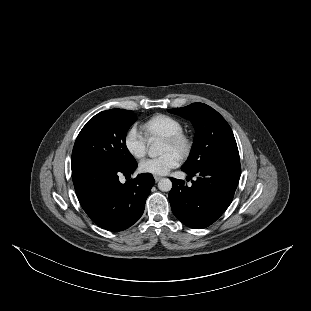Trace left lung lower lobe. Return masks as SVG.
<instances>
[{"mask_svg": "<svg viewBox=\"0 0 311 311\" xmlns=\"http://www.w3.org/2000/svg\"><path fill=\"white\" fill-rule=\"evenodd\" d=\"M183 171L191 177L199 176L190 187L182 180L170 178L173 184L169 193L171 209L186 226L205 228L232 202L241 174L240 161H223L194 172Z\"/></svg>", "mask_w": 311, "mask_h": 311, "instance_id": "obj_1", "label": "left lung lower lobe"}]
</instances>
